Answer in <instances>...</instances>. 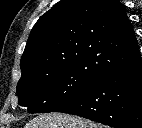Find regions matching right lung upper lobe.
Here are the masks:
<instances>
[{"label":"right lung upper lobe","instance_id":"right-lung-upper-lobe-1","mask_svg":"<svg viewBox=\"0 0 142 128\" xmlns=\"http://www.w3.org/2000/svg\"><path fill=\"white\" fill-rule=\"evenodd\" d=\"M141 58L119 0H62L32 28L21 58V79L73 65L99 79Z\"/></svg>","mask_w":142,"mask_h":128}]
</instances>
